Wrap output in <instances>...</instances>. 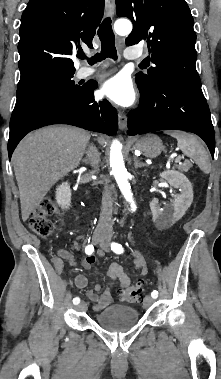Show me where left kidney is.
I'll list each match as a JSON object with an SVG mask.
<instances>
[{
	"label": "left kidney",
	"mask_w": 221,
	"mask_h": 379,
	"mask_svg": "<svg viewBox=\"0 0 221 379\" xmlns=\"http://www.w3.org/2000/svg\"><path fill=\"white\" fill-rule=\"evenodd\" d=\"M160 177L180 190V194H172L175 199L172 206L161 208L156 198L150 203L154 222L161 227H169L181 219L192 204L193 188L188 178L178 171L167 170Z\"/></svg>",
	"instance_id": "obj_1"
}]
</instances>
